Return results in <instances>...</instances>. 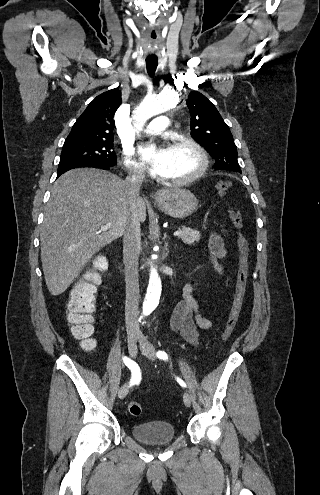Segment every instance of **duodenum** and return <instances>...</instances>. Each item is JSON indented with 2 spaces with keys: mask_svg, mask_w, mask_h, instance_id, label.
<instances>
[{
  "mask_svg": "<svg viewBox=\"0 0 320 495\" xmlns=\"http://www.w3.org/2000/svg\"><path fill=\"white\" fill-rule=\"evenodd\" d=\"M119 268H120V271H121V272H123V271H124V269H123V266H122V265H120V267H119Z\"/></svg>",
  "mask_w": 320,
  "mask_h": 495,
  "instance_id": "410a0bca",
  "label": "duodenum"
}]
</instances>
